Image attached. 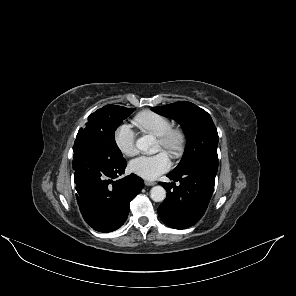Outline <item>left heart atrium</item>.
<instances>
[{
    "label": "left heart atrium",
    "instance_id": "obj_1",
    "mask_svg": "<svg viewBox=\"0 0 296 296\" xmlns=\"http://www.w3.org/2000/svg\"><path fill=\"white\" fill-rule=\"evenodd\" d=\"M170 165L171 161L168 154L161 151L154 155L135 158L130 162L129 167L136 175L151 180L166 172Z\"/></svg>",
    "mask_w": 296,
    "mask_h": 296
}]
</instances>
